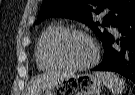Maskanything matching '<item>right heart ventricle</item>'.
Wrapping results in <instances>:
<instances>
[{
    "instance_id": "1",
    "label": "right heart ventricle",
    "mask_w": 135,
    "mask_h": 95,
    "mask_svg": "<svg viewBox=\"0 0 135 95\" xmlns=\"http://www.w3.org/2000/svg\"><path fill=\"white\" fill-rule=\"evenodd\" d=\"M63 30L64 28L61 25L53 24L48 26L39 36L35 48V57L37 65L41 70L50 71L61 68L50 58L49 45Z\"/></svg>"
}]
</instances>
